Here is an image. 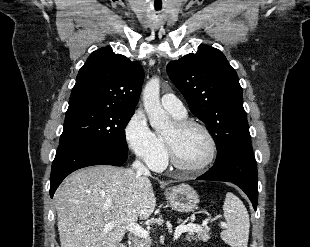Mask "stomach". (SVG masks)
<instances>
[{
    "label": "stomach",
    "instance_id": "0dacf381",
    "mask_svg": "<svg viewBox=\"0 0 310 247\" xmlns=\"http://www.w3.org/2000/svg\"><path fill=\"white\" fill-rule=\"evenodd\" d=\"M165 196L171 207L178 212H191L199 202L197 192L187 184L168 188Z\"/></svg>",
    "mask_w": 310,
    "mask_h": 247
}]
</instances>
